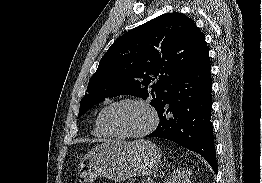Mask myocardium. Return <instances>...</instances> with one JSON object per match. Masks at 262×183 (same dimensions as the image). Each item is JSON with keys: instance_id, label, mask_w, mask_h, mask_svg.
Masks as SVG:
<instances>
[{"instance_id": "myocardium-1", "label": "myocardium", "mask_w": 262, "mask_h": 183, "mask_svg": "<svg viewBox=\"0 0 262 183\" xmlns=\"http://www.w3.org/2000/svg\"><path fill=\"white\" fill-rule=\"evenodd\" d=\"M126 103L138 104V105L145 107L150 113L151 122L147 128H145L144 130L140 132H134V133H129V134L113 133L110 130H108V128L104 124V115L107 112V110H109L110 108L117 106V105L126 104ZM158 124H159V116H158L157 110L149 101L145 99H141V98L127 97V98H122V99L113 101L109 103L108 105H106L100 111L98 115L99 128L107 137L114 138V139H136V138L145 137L149 135L150 133H152L157 128Z\"/></svg>"}]
</instances>
